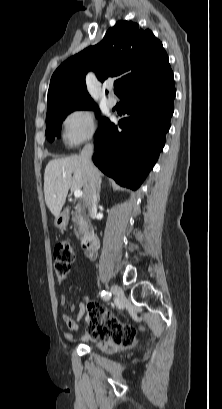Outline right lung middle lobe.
<instances>
[{
  "instance_id": "right-lung-middle-lobe-1",
  "label": "right lung middle lobe",
  "mask_w": 222,
  "mask_h": 409,
  "mask_svg": "<svg viewBox=\"0 0 222 409\" xmlns=\"http://www.w3.org/2000/svg\"><path fill=\"white\" fill-rule=\"evenodd\" d=\"M80 109H94L97 111V114L99 115V110L95 103L72 104V105L63 106V107H59V108L47 111L46 137L48 138V140L53 141L55 136L60 137V129H61L62 121L72 111L80 110ZM99 123H100L99 129L95 134L96 139L104 131L105 127L109 123V120L107 118H100Z\"/></svg>"
}]
</instances>
